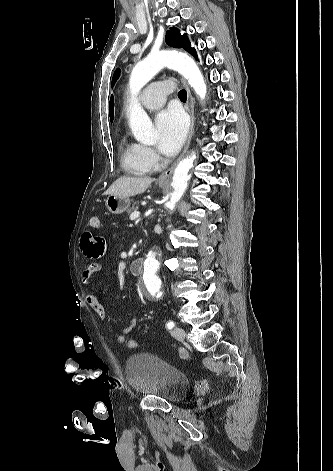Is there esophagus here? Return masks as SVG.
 <instances>
[{
    "mask_svg": "<svg viewBox=\"0 0 333 471\" xmlns=\"http://www.w3.org/2000/svg\"><path fill=\"white\" fill-rule=\"evenodd\" d=\"M182 81V84L187 92V104H186V109L190 115V128H189V133H188V137H187V141H186V144H185V147H184V150L182 152V154L180 155V157L175 161V163L167 170H165L158 178V181L161 182V183H165V182H168L170 180V177L177 165V163L180 161V159L184 156V154L187 152L188 148H189V145H190V142H191V139H192V136H193V132H194V124H195V115H194V103H193V98H192V95H191V92H190V89L187 85V83L185 82V80H181Z\"/></svg>",
    "mask_w": 333,
    "mask_h": 471,
    "instance_id": "obj_1",
    "label": "esophagus"
}]
</instances>
